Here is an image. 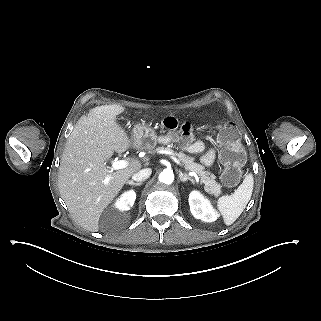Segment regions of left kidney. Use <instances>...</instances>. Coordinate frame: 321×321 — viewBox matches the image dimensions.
<instances>
[{"label": "left kidney", "instance_id": "5707ae66", "mask_svg": "<svg viewBox=\"0 0 321 321\" xmlns=\"http://www.w3.org/2000/svg\"><path fill=\"white\" fill-rule=\"evenodd\" d=\"M189 206L191 213L197 219H201L205 222H212L216 220V214L212 207L203 196L197 192H191L189 196Z\"/></svg>", "mask_w": 321, "mask_h": 321}]
</instances>
